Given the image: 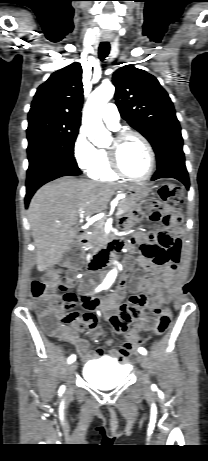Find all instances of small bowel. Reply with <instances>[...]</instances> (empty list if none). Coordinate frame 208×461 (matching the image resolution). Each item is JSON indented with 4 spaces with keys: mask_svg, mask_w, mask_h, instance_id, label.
I'll return each mask as SVG.
<instances>
[{
    "mask_svg": "<svg viewBox=\"0 0 208 461\" xmlns=\"http://www.w3.org/2000/svg\"><path fill=\"white\" fill-rule=\"evenodd\" d=\"M129 209L131 214H121L120 218L124 224L131 222L133 217H141L143 213L141 204H130ZM181 234V229H158L155 238L146 237L147 245H153L156 240L159 249L167 251H140L137 260L147 273L137 270L129 275L124 272L115 292L103 300L94 298L91 278L82 279L85 284L81 286L80 295H77L76 291H62L60 299L64 309H77L78 303H81L86 312L58 313L59 324L69 323V326L60 329L61 340L72 344L85 360L102 356L103 349H90L87 340L82 337L84 333L93 337L105 335L104 330L98 325L95 314L97 308L102 310L118 334L124 335L127 340H142L139 330L150 329L155 324L159 306L170 298V288L179 263L183 262L182 253L185 252ZM128 250L134 252L133 245H129ZM66 260L64 276L72 286L82 265L78 262V256H67ZM128 290L132 295L123 303ZM111 356L124 362L135 359L134 352L121 349H112Z\"/></svg>",
    "mask_w": 208,
    "mask_h": 461,
    "instance_id": "c3829d8e",
    "label": "small bowel"
}]
</instances>
